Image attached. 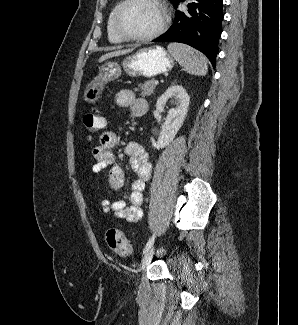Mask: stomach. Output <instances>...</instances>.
Listing matches in <instances>:
<instances>
[{
  "instance_id": "stomach-1",
  "label": "stomach",
  "mask_w": 298,
  "mask_h": 325,
  "mask_svg": "<svg viewBox=\"0 0 298 325\" xmlns=\"http://www.w3.org/2000/svg\"><path fill=\"white\" fill-rule=\"evenodd\" d=\"M174 66V58L167 52L164 46H144L131 50L124 56L121 64L119 62H104L99 66V74L93 76L92 80L85 86L83 100L87 104H95L100 100L103 90L108 82L117 80L126 72L128 76H146L153 78L157 74L169 72Z\"/></svg>"
}]
</instances>
